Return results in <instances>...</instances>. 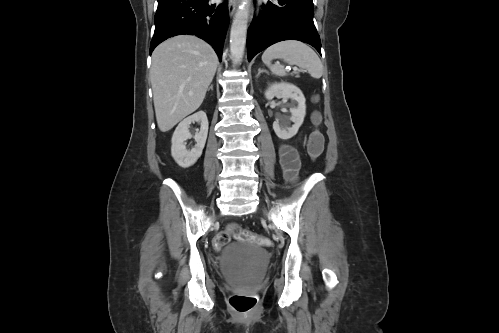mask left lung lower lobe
<instances>
[{"label":"left lung lower lobe","instance_id":"1","mask_svg":"<svg viewBox=\"0 0 499 333\" xmlns=\"http://www.w3.org/2000/svg\"><path fill=\"white\" fill-rule=\"evenodd\" d=\"M261 19L254 18L247 34L248 60L280 41L299 40L321 54V41L313 22L312 0L268 1Z\"/></svg>","mask_w":499,"mask_h":333}]
</instances>
